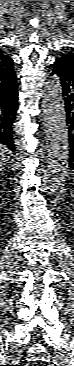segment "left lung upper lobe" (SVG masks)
Returning a JSON list of instances; mask_svg holds the SVG:
<instances>
[{"label":"left lung upper lobe","instance_id":"left-lung-upper-lobe-1","mask_svg":"<svg viewBox=\"0 0 74 366\" xmlns=\"http://www.w3.org/2000/svg\"><path fill=\"white\" fill-rule=\"evenodd\" d=\"M62 57L68 58L69 60L74 62V52L66 53Z\"/></svg>","mask_w":74,"mask_h":366}]
</instances>
